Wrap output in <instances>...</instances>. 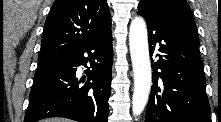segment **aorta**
Returning <instances> with one entry per match:
<instances>
[{
  "mask_svg": "<svg viewBox=\"0 0 221 122\" xmlns=\"http://www.w3.org/2000/svg\"><path fill=\"white\" fill-rule=\"evenodd\" d=\"M129 46L134 71L133 115L142 113L151 88V65L149 59L147 29L141 17L132 20L129 29Z\"/></svg>",
  "mask_w": 221,
  "mask_h": 122,
  "instance_id": "762f6f07",
  "label": "aorta"
}]
</instances>
